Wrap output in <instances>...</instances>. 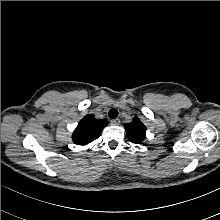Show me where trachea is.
Returning <instances> with one entry per match:
<instances>
[{"label":"trachea","instance_id":"1","mask_svg":"<svg viewBox=\"0 0 220 220\" xmlns=\"http://www.w3.org/2000/svg\"><path fill=\"white\" fill-rule=\"evenodd\" d=\"M108 115H109V117H110L111 119H114V118H116V117L118 116V110L115 109V108H112V109H110Z\"/></svg>","mask_w":220,"mask_h":220}]
</instances>
